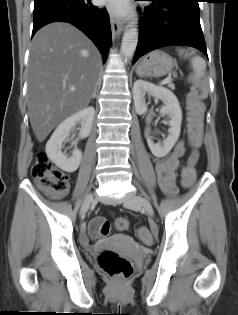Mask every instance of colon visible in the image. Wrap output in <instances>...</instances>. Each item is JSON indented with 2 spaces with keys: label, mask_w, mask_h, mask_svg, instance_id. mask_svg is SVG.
<instances>
[{
  "label": "colon",
  "mask_w": 238,
  "mask_h": 315,
  "mask_svg": "<svg viewBox=\"0 0 238 315\" xmlns=\"http://www.w3.org/2000/svg\"><path fill=\"white\" fill-rule=\"evenodd\" d=\"M206 96V86L199 81L193 87L188 99L189 124L188 141L192 148L199 147L203 133L204 106L202 100ZM31 174L42 189L46 192L61 196L69 189V177L62 170L58 169L45 154H40L31 168ZM194 180L192 174L185 168L182 172V182L185 186H190ZM129 221L120 218L116 221L118 230H126ZM89 234L93 238L105 237L110 232V223L102 217L93 218L88 226ZM137 236L145 241L150 239L147 228L140 227ZM101 269L113 280L123 281L128 279L133 273V265L130 260L118 255L113 251H103L98 257Z\"/></svg>",
  "instance_id": "5ec220e1"
}]
</instances>
